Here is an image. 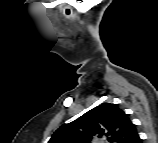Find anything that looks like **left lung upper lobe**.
Listing matches in <instances>:
<instances>
[{"instance_id":"left-lung-upper-lobe-1","label":"left lung upper lobe","mask_w":158,"mask_h":143,"mask_svg":"<svg viewBox=\"0 0 158 143\" xmlns=\"http://www.w3.org/2000/svg\"><path fill=\"white\" fill-rule=\"evenodd\" d=\"M105 137L110 143H135L138 133L128 115L117 104L103 103L61 126L49 143H91Z\"/></svg>"}]
</instances>
